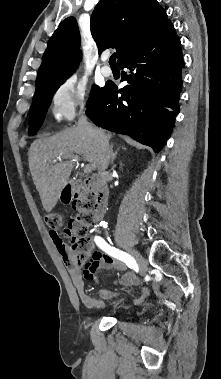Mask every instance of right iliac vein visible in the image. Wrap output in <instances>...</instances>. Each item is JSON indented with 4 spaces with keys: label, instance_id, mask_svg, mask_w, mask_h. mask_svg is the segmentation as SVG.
Wrapping results in <instances>:
<instances>
[{
    "label": "right iliac vein",
    "instance_id": "1",
    "mask_svg": "<svg viewBox=\"0 0 221 379\" xmlns=\"http://www.w3.org/2000/svg\"><path fill=\"white\" fill-rule=\"evenodd\" d=\"M130 253H131V254L134 256V258L136 259L141 274H145V273H146V270H147V267H146V263H145V260H144V258L142 257V255H141L139 252L135 251V250H131Z\"/></svg>",
    "mask_w": 221,
    "mask_h": 379
}]
</instances>
